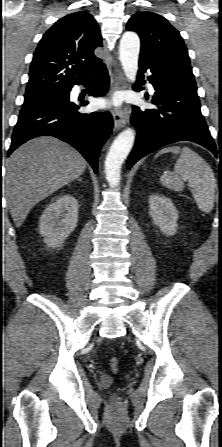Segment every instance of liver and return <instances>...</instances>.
<instances>
[{
  "label": "liver",
  "mask_w": 222,
  "mask_h": 447,
  "mask_svg": "<svg viewBox=\"0 0 222 447\" xmlns=\"http://www.w3.org/2000/svg\"><path fill=\"white\" fill-rule=\"evenodd\" d=\"M82 155L54 138L32 139L6 161L5 196L16 227L41 200L81 176L86 168Z\"/></svg>",
  "instance_id": "1"
}]
</instances>
